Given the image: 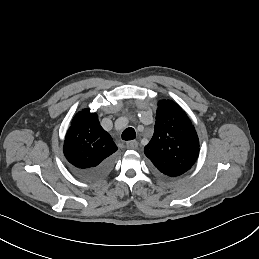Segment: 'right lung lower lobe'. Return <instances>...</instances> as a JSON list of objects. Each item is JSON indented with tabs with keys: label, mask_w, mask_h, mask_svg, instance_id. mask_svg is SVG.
Instances as JSON below:
<instances>
[{
	"label": "right lung lower lobe",
	"mask_w": 259,
	"mask_h": 259,
	"mask_svg": "<svg viewBox=\"0 0 259 259\" xmlns=\"http://www.w3.org/2000/svg\"><path fill=\"white\" fill-rule=\"evenodd\" d=\"M115 163L114 156H111L100 163L98 166L81 169L74 166L70 167V170L79 178L86 181H94L102 178L108 174Z\"/></svg>",
	"instance_id": "1"
}]
</instances>
